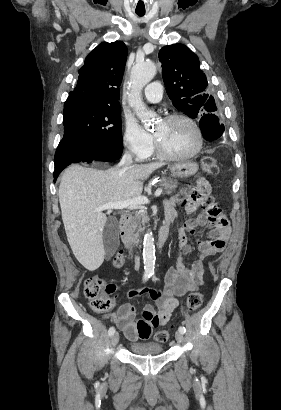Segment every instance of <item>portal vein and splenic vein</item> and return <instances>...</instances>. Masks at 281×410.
<instances>
[{
	"label": "portal vein and splenic vein",
	"mask_w": 281,
	"mask_h": 410,
	"mask_svg": "<svg viewBox=\"0 0 281 410\" xmlns=\"http://www.w3.org/2000/svg\"><path fill=\"white\" fill-rule=\"evenodd\" d=\"M162 192H163L162 188H158L155 191L154 196L158 197L162 194ZM149 202L150 201L146 196H138L136 198L129 199V200L109 202L107 204H104L96 208V211L101 212L103 210H111V209H115V210L134 209L140 205L148 204Z\"/></svg>",
	"instance_id": "1"
}]
</instances>
